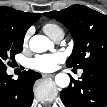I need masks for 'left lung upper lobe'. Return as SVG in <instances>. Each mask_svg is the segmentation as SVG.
Instances as JSON below:
<instances>
[{
  "mask_svg": "<svg viewBox=\"0 0 107 107\" xmlns=\"http://www.w3.org/2000/svg\"><path fill=\"white\" fill-rule=\"evenodd\" d=\"M63 23L74 38V48L66 66L84 68L107 65V16L81 5L44 13Z\"/></svg>",
  "mask_w": 107,
  "mask_h": 107,
  "instance_id": "5c2ea615",
  "label": "left lung upper lobe"
}]
</instances>
